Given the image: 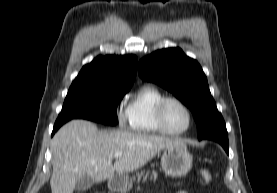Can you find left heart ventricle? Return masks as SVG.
<instances>
[{"instance_id": "left-heart-ventricle-1", "label": "left heart ventricle", "mask_w": 277, "mask_h": 193, "mask_svg": "<svg viewBox=\"0 0 277 193\" xmlns=\"http://www.w3.org/2000/svg\"><path fill=\"white\" fill-rule=\"evenodd\" d=\"M166 125L173 131H180L188 125V115L185 109L176 102H169L164 111Z\"/></svg>"}]
</instances>
